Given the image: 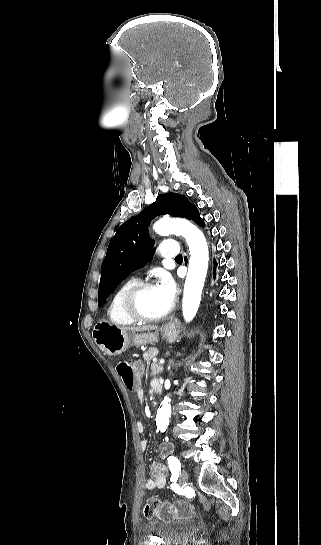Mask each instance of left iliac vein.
Segmentation results:
<instances>
[{
  "label": "left iliac vein",
  "mask_w": 321,
  "mask_h": 545,
  "mask_svg": "<svg viewBox=\"0 0 321 545\" xmlns=\"http://www.w3.org/2000/svg\"><path fill=\"white\" fill-rule=\"evenodd\" d=\"M187 482H188V473H187V471L182 470L180 472V476H179V483L181 485H185Z\"/></svg>",
  "instance_id": "4c4485c4"
}]
</instances>
